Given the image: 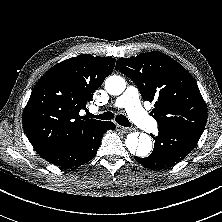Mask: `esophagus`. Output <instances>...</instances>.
I'll return each mask as SVG.
<instances>
[{
    "label": "esophagus",
    "instance_id": "esophagus-1",
    "mask_svg": "<svg viewBox=\"0 0 222 222\" xmlns=\"http://www.w3.org/2000/svg\"><path fill=\"white\" fill-rule=\"evenodd\" d=\"M117 130L123 132V133H128V132H131L132 129L131 128H128V127H123L121 125H117Z\"/></svg>",
    "mask_w": 222,
    "mask_h": 222
}]
</instances>
